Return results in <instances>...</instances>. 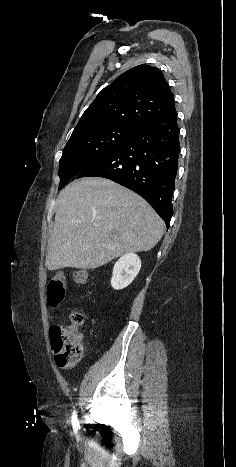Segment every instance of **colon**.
<instances>
[{"label":"colon","instance_id":"colon-1","mask_svg":"<svg viewBox=\"0 0 236 467\" xmlns=\"http://www.w3.org/2000/svg\"><path fill=\"white\" fill-rule=\"evenodd\" d=\"M73 281L78 285H85L88 281L86 270H75ZM65 298V277L62 273L53 276L47 284V302L52 308L59 307ZM82 313L75 311L70 315V324L67 326L54 325L51 330V349L56 364L63 369H72L80 361L84 338L78 329L83 324Z\"/></svg>","mask_w":236,"mask_h":467}]
</instances>
